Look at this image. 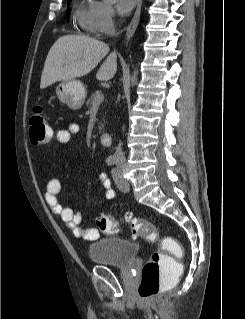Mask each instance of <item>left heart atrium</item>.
<instances>
[{"mask_svg":"<svg viewBox=\"0 0 245 319\" xmlns=\"http://www.w3.org/2000/svg\"><path fill=\"white\" fill-rule=\"evenodd\" d=\"M137 0H116V7L120 14H128L134 7Z\"/></svg>","mask_w":245,"mask_h":319,"instance_id":"left-heart-atrium-1","label":"left heart atrium"}]
</instances>
